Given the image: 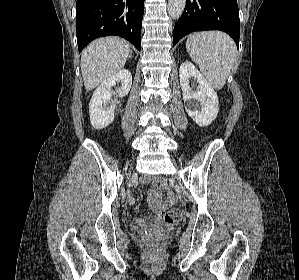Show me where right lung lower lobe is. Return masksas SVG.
I'll list each match as a JSON object with an SVG mask.
<instances>
[{
    "mask_svg": "<svg viewBox=\"0 0 299 280\" xmlns=\"http://www.w3.org/2000/svg\"><path fill=\"white\" fill-rule=\"evenodd\" d=\"M144 0H77L76 36L79 53L92 40L116 35L141 49Z\"/></svg>",
    "mask_w": 299,
    "mask_h": 280,
    "instance_id": "obj_1",
    "label": "right lung lower lobe"
}]
</instances>
